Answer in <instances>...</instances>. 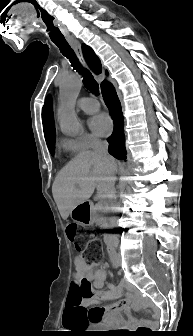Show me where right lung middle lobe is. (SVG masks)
Segmentation results:
<instances>
[{"label":"right lung middle lobe","instance_id":"obj_1","mask_svg":"<svg viewBox=\"0 0 193 336\" xmlns=\"http://www.w3.org/2000/svg\"><path fill=\"white\" fill-rule=\"evenodd\" d=\"M48 149L50 153L53 155L54 154V146H55V138L47 142Z\"/></svg>","mask_w":193,"mask_h":336}]
</instances>
